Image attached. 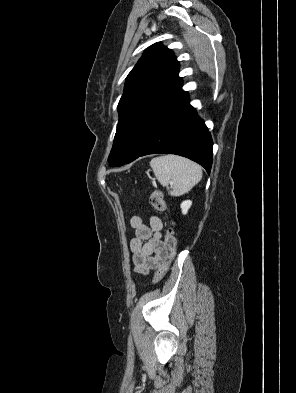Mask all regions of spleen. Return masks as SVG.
Returning a JSON list of instances; mask_svg holds the SVG:
<instances>
[{"mask_svg": "<svg viewBox=\"0 0 296 393\" xmlns=\"http://www.w3.org/2000/svg\"><path fill=\"white\" fill-rule=\"evenodd\" d=\"M150 166L159 183L167 188L171 196L189 192L202 178V169L197 163L177 155L155 157Z\"/></svg>", "mask_w": 296, "mask_h": 393, "instance_id": "spleen-1", "label": "spleen"}]
</instances>
